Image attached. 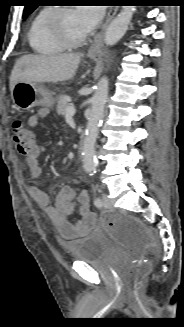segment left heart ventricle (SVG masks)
I'll list each match as a JSON object with an SVG mask.
<instances>
[{
    "label": "left heart ventricle",
    "mask_w": 184,
    "mask_h": 327,
    "mask_svg": "<svg viewBox=\"0 0 184 327\" xmlns=\"http://www.w3.org/2000/svg\"><path fill=\"white\" fill-rule=\"evenodd\" d=\"M63 27L65 32L74 39L87 34L74 9L63 16Z\"/></svg>",
    "instance_id": "obj_1"
}]
</instances>
